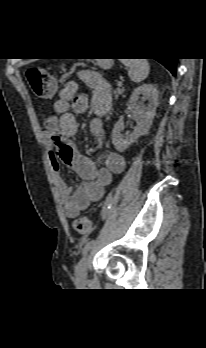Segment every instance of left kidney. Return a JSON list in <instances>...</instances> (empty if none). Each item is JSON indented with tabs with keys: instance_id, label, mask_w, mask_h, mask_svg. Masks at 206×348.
<instances>
[{
	"instance_id": "5707ae66",
	"label": "left kidney",
	"mask_w": 206,
	"mask_h": 348,
	"mask_svg": "<svg viewBox=\"0 0 206 348\" xmlns=\"http://www.w3.org/2000/svg\"><path fill=\"white\" fill-rule=\"evenodd\" d=\"M140 95L142 98L138 101ZM146 100L147 105L144 104ZM130 103L137 125L131 134L123 135L121 134L124 129L123 122L121 120L116 122L112 131V143L119 152H124L140 136L148 133L159 104L157 88L152 84H143L135 88L130 96Z\"/></svg>"
}]
</instances>
